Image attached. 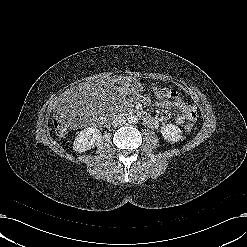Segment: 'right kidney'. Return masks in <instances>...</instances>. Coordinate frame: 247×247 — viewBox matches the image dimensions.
<instances>
[{"mask_svg":"<svg viewBox=\"0 0 247 247\" xmlns=\"http://www.w3.org/2000/svg\"><path fill=\"white\" fill-rule=\"evenodd\" d=\"M101 140V132L94 127H88L79 132L73 143L75 152H85L96 146Z\"/></svg>","mask_w":247,"mask_h":247,"instance_id":"ca27d5eb","label":"right kidney"}]
</instances>
